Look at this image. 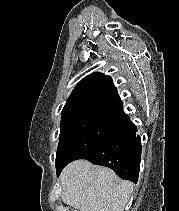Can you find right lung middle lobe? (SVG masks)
Returning a JSON list of instances; mask_svg holds the SVG:
<instances>
[{
	"instance_id": "dd1d6c3e",
	"label": "right lung middle lobe",
	"mask_w": 179,
	"mask_h": 211,
	"mask_svg": "<svg viewBox=\"0 0 179 211\" xmlns=\"http://www.w3.org/2000/svg\"><path fill=\"white\" fill-rule=\"evenodd\" d=\"M121 112L88 111L62 117L56 168L67 165L102 142L116 127Z\"/></svg>"
}]
</instances>
